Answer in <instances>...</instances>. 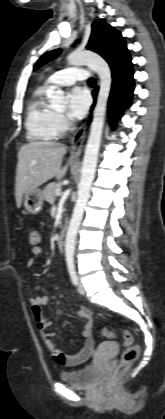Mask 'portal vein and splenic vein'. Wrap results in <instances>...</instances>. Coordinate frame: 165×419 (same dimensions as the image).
I'll return each instance as SVG.
<instances>
[{"label":"portal vein and splenic vein","mask_w":165,"mask_h":419,"mask_svg":"<svg viewBox=\"0 0 165 419\" xmlns=\"http://www.w3.org/2000/svg\"><path fill=\"white\" fill-rule=\"evenodd\" d=\"M55 194H56V196H60L61 195V189L60 188L56 189Z\"/></svg>","instance_id":"obj_1"}]
</instances>
